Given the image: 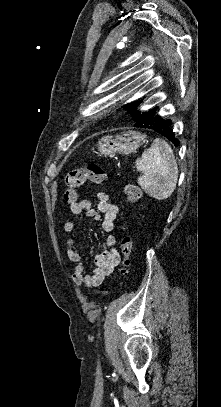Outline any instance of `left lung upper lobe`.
Segmentation results:
<instances>
[{
    "label": "left lung upper lobe",
    "instance_id": "left-lung-upper-lobe-1",
    "mask_svg": "<svg viewBox=\"0 0 221 407\" xmlns=\"http://www.w3.org/2000/svg\"><path fill=\"white\" fill-rule=\"evenodd\" d=\"M139 104H140V102H131V103H128V104H126L125 106H124V108L126 109V110H128L131 114H132V116H133V118L135 119V117L137 116V107L139 106Z\"/></svg>",
    "mask_w": 221,
    "mask_h": 407
}]
</instances>
